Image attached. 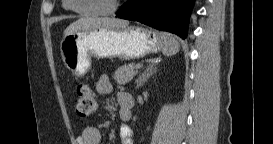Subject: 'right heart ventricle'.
I'll list each match as a JSON object with an SVG mask.
<instances>
[{
  "label": "right heart ventricle",
  "instance_id": "e07e8e85",
  "mask_svg": "<svg viewBox=\"0 0 273 144\" xmlns=\"http://www.w3.org/2000/svg\"><path fill=\"white\" fill-rule=\"evenodd\" d=\"M63 6H64L66 9H69V4H68L67 1H64V2H63Z\"/></svg>",
  "mask_w": 273,
  "mask_h": 144
}]
</instances>
